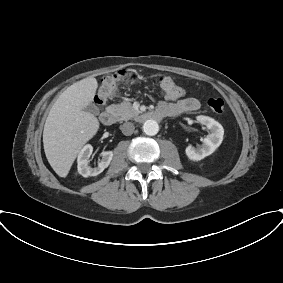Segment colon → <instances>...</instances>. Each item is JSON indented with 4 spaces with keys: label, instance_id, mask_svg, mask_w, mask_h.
<instances>
[{
    "label": "colon",
    "instance_id": "5ec220e1",
    "mask_svg": "<svg viewBox=\"0 0 283 283\" xmlns=\"http://www.w3.org/2000/svg\"><path fill=\"white\" fill-rule=\"evenodd\" d=\"M123 71L115 72L106 76L97 91L95 102L102 106L113 97L117 80L122 76ZM160 87L166 96L171 98H178L182 94V89L167 76H162L159 80ZM206 104L208 108L214 113L221 114L224 112L225 104L220 97H210L207 99Z\"/></svg>",
    "mask_w": 283,
    "mask_h": 283
}]
</instances>
